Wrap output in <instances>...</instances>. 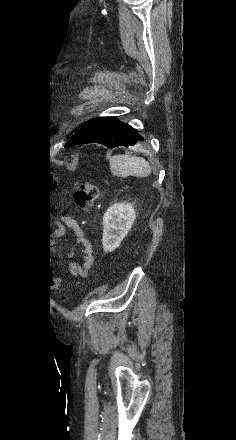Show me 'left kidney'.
<instances>
[{
    "instance_id": "obj_1",
    "label": "left kidney",
    "mask_w": 236,
    "mask_h": 440,
    "mask_svg": "<svg viewBox=\"0 0 236 440\" xmlns=\"http://www.w3.org/2000/svg\"><path fill=\"white\" fill-rule=\"evenodd\" d=\"M135 219L134 206L127 202L116 203L105 212L102 237L105 252H112L120 246Z\"/></svg>"
}]
</instances>
